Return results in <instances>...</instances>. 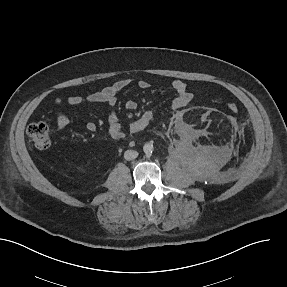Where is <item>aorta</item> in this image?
<instances>
[{"label": "aorta", "instance_id": "obj_1", "mask_svg": "<svg viewBox=\"0 0 287 287\" xmlns=\"http://www.w3.org/2000/svg\"><path fill=\"white\" fill-rule=\"evenodd\" d=\"M154 150L153 144L152 143H145L143 146V151L147 156H150Z\"/></svg>", "mask_w": 287, "mask_h": 287}]
</instances>
